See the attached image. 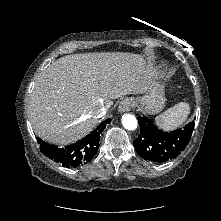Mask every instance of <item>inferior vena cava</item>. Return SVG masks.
<instances>
[{
  "label": "inferior vena cava",
  "instance_id": "602c4592",
  "mask_svg": "<svg viewBox=\"0 0 221 221\" xmlns=\"http://www.w3.org/2000/svg\"><path fill=\"white\" fill-rule=\"evenodd\" d=\"M107 112V108L105 106L99 107L95 110V116L98 118L103 117Z\"/></svg>",
  "mask_w": 221,
  "mask_h": 221
}]
</instances>
